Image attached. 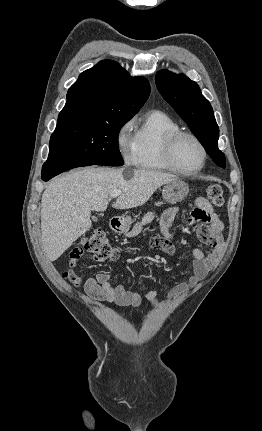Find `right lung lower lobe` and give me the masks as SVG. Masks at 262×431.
<instances>
[{
  "mask_svg": "<svg viewBox=\"0 0 262 431\" xmlns=\"http://www.w3.org/2000/svg\"><path fill=\"white\" fill-rule=\"evenodd\" d=\"M89 165H94V164L84 163V162L44 163V165L42 167L41 178L44 181H48L51 178H53L54 176L66 171V170L76 168V167H81V166H89Z\"/></svg>",
  "mask_w": 262,
  "mask_h": 431,
  "instance_id": "obj_1",
  "label": "right lung lower lobe"
}]
</instances>
